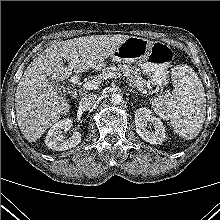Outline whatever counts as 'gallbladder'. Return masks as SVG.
I'll return each instance as SVG.
<instances>
[{"label":"gallbladder","instance_id":"obj_1","mask_svg":"<svg viewBox=\"0 0 220 220\" xmlns=\"http://www.w3.org/2000/svg\"><path fill=\"white\" fill-rule=\"evenodd\" d=\"M53 85L56 89H58L60 92H64L65 91V87L59 83L53 82Z\"/></svg>","mask_w":220,"mask_h":220}]
</instances>
